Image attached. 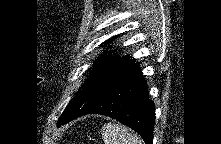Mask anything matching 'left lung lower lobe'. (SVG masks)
<instances>
[{
    "mask_svg": "<svg viewBox=\"0 0 221 144\" xmlns=\"http://www.w3.org/2000/svg\"><path fill=\"white\" fill-rule=\"evenodd\" d=\"M86 114L114 118L139 133L147 144L153 143L154 104L148 100L147 84L137 64L123 72L101 99L82 115Z\"/></svg>",
    "mask_w": 221,
    "mask_h": 144,
    "instance_id": "obj_1",
    "label": "left lung lower lobe"
}]
</instances>
